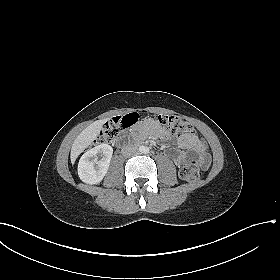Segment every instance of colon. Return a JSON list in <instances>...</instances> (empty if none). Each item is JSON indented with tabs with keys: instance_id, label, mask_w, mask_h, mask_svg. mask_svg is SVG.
Instances as JSON below:
<instances>
[{
	"instance_id": "obj_1",
	"label": "colon",
	"mask_w": 280,
	"mask_h": 280,
	"mask_svg": "<svg viewBox=\"0 0 280 280\" xmlns=\"http://www.w3.org/2000/svg\"><path fill=\"white\" fill-rule=\"evenodd\" d=\"M139 120L137 113H130L123 117H116L106 122L97 137V143H114L129 127L136 124ZM154 120L162 130L174 135H193L194 128L186 120L174 115H155ZM202 170L195 161L185 164L180 170V176L186 181H196L201 177Z\"/></svg>"
}]
</instances>
